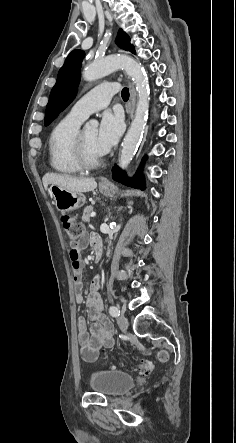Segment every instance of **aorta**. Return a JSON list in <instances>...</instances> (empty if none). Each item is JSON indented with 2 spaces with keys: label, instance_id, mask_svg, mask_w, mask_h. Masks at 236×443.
Here are the masks:
<instances>
[{
  "label": "aorta",
  "instance_id": "obj_1",
  "mask_svg": "<svg viewBox=\"0 0 236 443\" xmlns=\"http://www.w3.org/2000/svg\"><path fill=\"white\" fill-rule=\"evenodd\" d=\"M118 68H123L132 78L138 93L135 116L123 140L121 155L119 158V166L122 169H126L135 155L137 147L141 141L148 115L150 92L144 69L141 66V63L129 56L112 55L100 62L87 65L83 69L82 77L86 81H94L108 75ZM88 124L93 127L98 126L96 120H90Z\"/></svg>",
  "mask_w": 236,
  "mask_h": 443
}]
</instances>
